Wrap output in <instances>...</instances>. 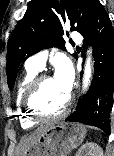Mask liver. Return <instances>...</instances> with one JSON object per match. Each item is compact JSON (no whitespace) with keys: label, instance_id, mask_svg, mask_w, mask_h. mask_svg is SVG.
<instances>
[{"label":"liver","instance_id":"obj_1","mask_svg":"<svg viewBox=\"0 0 114 156\" xmlns=\"http://www.w3.org/2000/svg\"><path fill=\"white\" fill-rule=\"evenodd\" d=\"M51 125L38 127L28 136L23 137L16 147V156H25L33 142H35Z\"/></svg>","mask_w":114,"mask_h":156}]
</instances>
